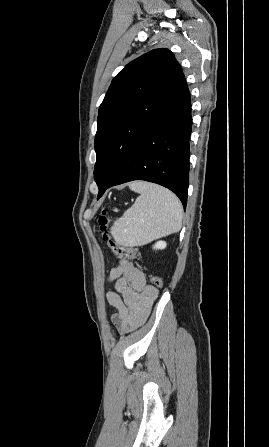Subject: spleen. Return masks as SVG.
Instances as JSON below:
<instances>
[{
    "instance_id": "obj_1",
    "label": "spleen",
    "mask_w": 269,
    "mask_h": 447,
    "mask_svg": "<svg viewBox=\"0 0 269 447\" xmlns=\"http://www.w3.org/2000/svg\"><path fill=\"white\" fill-rule=\"evenodd\" d=\"M129 188L140 196L112 225L110 233L116 243L126 247L145 245L181 229L182 204L170 190L141 180L131 182Z\"/></svg>"
}]
</instances>
